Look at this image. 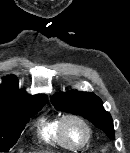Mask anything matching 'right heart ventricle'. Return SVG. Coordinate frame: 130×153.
<instances>
[{"label":"right heart ventricle","instance_id":"right-heart-ventricle-1","mask_svg":"<svg viewBox=\"0 0 130 153\" xmlns=\"http://www.w3.org/2000/svg\"><path fill=\"white\" fill-rule=\"evenodd\" d=\"M60 119L57 115H43L37 122V134L42 141L49 145L70 149L59 132Z\"/></svg>","mask_w":130,"mask_h":153}]
</instances>
